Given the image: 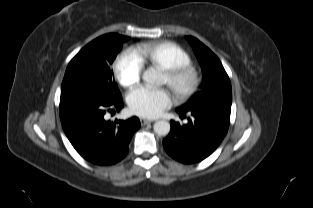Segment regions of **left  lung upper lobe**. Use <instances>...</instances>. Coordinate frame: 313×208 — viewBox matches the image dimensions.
Masks as SVG:
<instances>
[{
	"label": "left lung upper lobe",
	"mask_w": 313,
	"mask_h": 208,
	"mask_svg": "<svg viewBox=\"0 0 313 208\" xmlns=\"http://www.w3.org/2000/svg\"><path fill=\"white\" fill-rule=\"evenodd\" d=\"M189 43L201 64L203 82L201 90L190 101L180 107L191 109L201 105H224L231 107L232 93L229 77L218 57L198 39L187 36Z\"/></svg>",
	"instance_id": "left-lung-upper-lobe-1"
}]
</instances>
